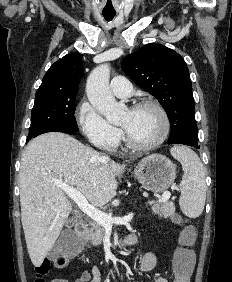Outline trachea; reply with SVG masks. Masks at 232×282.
<instances>
[{
	"label": "trachea",
	"instance_id": "obj_1",
	"mask_svg": "<svg viewBox=\"0 0 232 282\" xmlns=\"http://www.w3.org/2000/svg\"><path fill=\"white\" fill-rule=\"evenodd\" d=\"M115 15L116 13H103V16L106 21H111Z\"/></svg>",
	"mask_w": 232,
	"mask_h": 282
}]
</instances>
